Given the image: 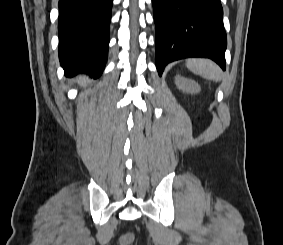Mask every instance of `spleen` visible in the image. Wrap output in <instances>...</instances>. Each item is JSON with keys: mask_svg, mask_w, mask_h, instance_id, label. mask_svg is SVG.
<instances>
[{"mask_svg": "<svg viewBox=\"0 0 283 245\" xmlns=\"http://www.w3.org/2000/svg\"><path fill=\"white\" fill-rule=\"evenodd\" d=\"M186 66L193 73L205 79L218 82L222 78L218 65L208 59H189L186 62Z\"/></svg>", "mask_w": 283, "mask_h": 245, "instance_id": "obj_1", "label": "spleen"}]
</instances>
